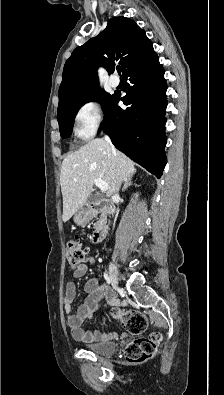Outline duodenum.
<instances>
[{
	"instance_id": "duodenum-1",
	"label": "duodenum",
	"mask_w": 224,
	"mask_h": 395,
	"mask_svg": "<svg viewBox=\"0 0 224 395\" xmlns=\"http://www.w3.org/2000/svg\"><path fill=\"white\" fill-rule=\"evenodd\" d=\"M90 213L95 215L99 210L111 211L112 205L106 199H100L97 202H93L89 205ZM107 227L106 225L102 224L98 226L92 235V241L95 244H98L104 240L106 237Z\"/></svg>"
}]
</instances>
